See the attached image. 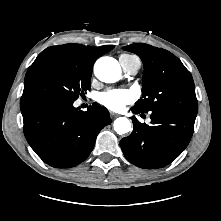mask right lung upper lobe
Masks as SVG:
<instances>
[{
  "label": "right lung upper lobe",
  "mask_w": 221,
  "mask_h": 221,
  "mask_svg": "<svg viewBox=\"0 0 221 221\" xmlns=\"http://www.w3.org/2000/svg\"><path fill=\"white\" fill-rule=\"evenodd\" d=\"M114 46H101V47H91L85 46L81 44H65L60 46H51L44 51H42L31 65L29 70L27 71L25 81L29 75V73L39 64L44 61L52 60V59H63L70 60L76 62L86 68L92 69L93 64L97 58L104 55ZM25 86V82H24ZM29 99L24 95H22L20 100V106L25 105Z\"/></svg>",
  "instance_id": "obj_1"
}]
</instances>
